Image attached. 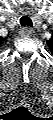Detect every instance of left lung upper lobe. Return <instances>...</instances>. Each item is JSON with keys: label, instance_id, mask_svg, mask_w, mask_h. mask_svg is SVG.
Instances as JSON below:
<instances>
[{"label": "left lung upper lobe", "instance_id": "obj_1", "mask_svg": "<svg viewBox=\"0 0 53 120\" xmlns=\"http://www.w3.org/2000/svg\"><path fill=\"white\" fill-rule=\"evenodd\" d=\"M48 45L51 47L52 46V43H51V41H48Z\"/></svg>", "mask_w": 53, "mask_h": 120}]
</instances>
